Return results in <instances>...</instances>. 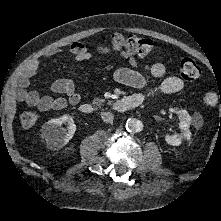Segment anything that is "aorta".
<instances>
[{
	"instance_id": "1",
	"label": "aorta",
	"mask_w": 221,
	"mask_h": 221,
	"mask_svg": "<svg viewBox=\"0 0 221 221\" xmlns=\"http://www.w3.org/2000/svg\"><path fill=\"white\" fill-rule=\"evenodd\" d=\"M126 129L128 132H140L143 129V123L135 118H129L126 121Z\"/></svg>"
}]
</instances>
